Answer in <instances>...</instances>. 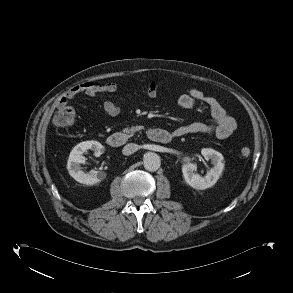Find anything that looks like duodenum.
I'll return each instance as SVG.
<instances>
[{
	"label": "duodenum",
	"instance_id": "duodenum-1",
	"mask_svg": "<svg viewBox=\"0 0 293 293\" xmlns=\"http://www.w3.org/2000/svg\"><path fill=\"white\" fill-rule=\"evenodd\" d=\"M147 137L154 142L169 143L173 135L161 128H151L147 131ZM107 144L111 147H121L128 141V135L123 132H115L107 137Z\"/></svg>",
	"mask_w": 293,
	"mask_h": 293
}]
</instances>
